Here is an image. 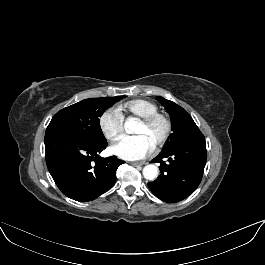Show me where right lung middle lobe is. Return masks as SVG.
Instances as JSON below:
<instances>
[{
	"label": "right lung middle lobe",
	"mask_w": 265,
	"mask_h": 265,
	"mask_svg": "<svg viewBox=\"0 0 265 265\" xmlns=\"http://www.w3.org/2000/svg\"><path fill=\"white\" fill-rule=\"evenodd\" d=\"M124 96L90 98L57 112L49 123L47 133H72L94 142L105 140L99 117Z\"/></svg>",
	"instance_id": "obj_1"
}]
</instances>
